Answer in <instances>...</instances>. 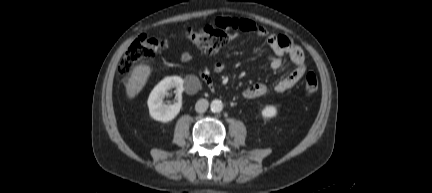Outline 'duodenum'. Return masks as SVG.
Returning a JSON list of instances; mask_svg holds the SVG:
<instances>
[{
  "label": "duodenum",
  "instance_id": "410a0bca",
  "mask_svg": "<svg viewBox=\"0 0 432 193\" xmlns=\"http://www.w3.org/2000/svg\"><path fill=\"white\" fill-rule=\"evenodd\" d=\"M200 77L210 88H213L212 80L210 79V77L208 75H206L204 73H200Z\"/></svg>",
  "mask_w": 432,
  "mask_h": 193
}]
</instances>
